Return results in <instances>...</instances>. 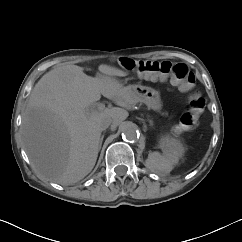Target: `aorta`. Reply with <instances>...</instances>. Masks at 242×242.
<instances>
[{"mask_svg": "<svg viewBox=\"0 0 242 242\" xmlns=\"http://www.w3.org/2000/svg\"><path fill=\"white\" fill-rule=\"evenodd\" d=\"M122 135L125 139L134 141L139 136L138 127L132 122L126 123L122 128Z\"/></svg>", "mask_w": 242, "mask_h": 242, "instance_id": "762f6f07", "label": "aorta"}]
</instances>
